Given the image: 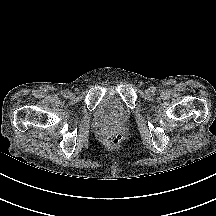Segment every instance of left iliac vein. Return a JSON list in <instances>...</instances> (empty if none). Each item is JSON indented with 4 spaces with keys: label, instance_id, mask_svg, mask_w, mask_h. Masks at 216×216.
Wrapping results in <instances>:
<instances>
[{
    "label": "left iliac vein",
    "instance_id": "1",
    "mask_svg": "<svg viewBox=\"0 0 216 216\" xmlns=\"http://www.w3.org/2000/svg\"><path fill=\"white\" fill-rule=\"evenodd\" d=\"M145 92H146L147 95H151L153 93L152 92V87L147 88Z\"/></svg>",
    "mask_w": 216,
    "mask_h": 216
}]
</instances>
